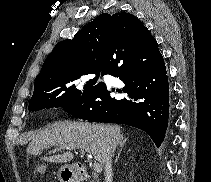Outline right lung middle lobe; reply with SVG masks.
<instances>
[{"label": "right lung middle lobe", "instance_id": "dd1d6c3e", "mask_svg": "<svg viewBox=\"0 0 211 182\" xmlns=\"http://www.w3.org/2000/svg\"><path fill=\"white\" fill-rule=\"evenodd\" d=\"M100 73V69H95L34 89L29 111L62 106L70 113L93 93ZM93 74L96 75L94 78Z\"/></svg>", "mask_w": 211, "mask_h": 182}]
</instances>
